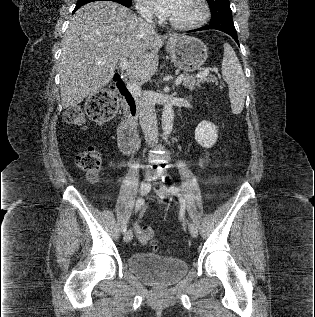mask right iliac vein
Segmentation results:
<instances>
[{
  "label": "right iliac vein",
  "instance_id": "63e3f726",
  "mask_svg": "<svg viewBox=\"0 0 315 317\" xmlns=\"http://www.w3.org/2000/svg\"><path fill=\"white\" fill-rule=\"evenodd\" d=\"M151 189V182L149 178H146L141 182L140 185V192L142 195H147ZM133 238V233L131 230H128L124 235V241L130 242Z\"/></svg>",
  "mask_w": 315,
  "mask_h": 317
}]
</instances>
